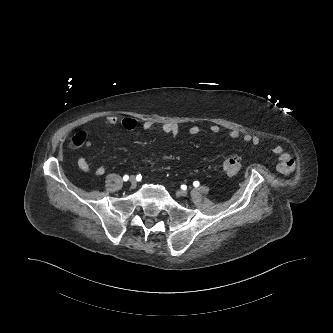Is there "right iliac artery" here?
<instances>
[{
	"label": "right iliac artery",
	"mask_w": 333,
	"mask_h": 333,
	"mask_svg": "<svg viewBox=\"0 0 333 333\" xmlns=\"http://www.w3.org/2000/svg\"><path fill=\"white\" fill-rule=\"evenodd\" d=\"M128 179H129V176L128 175H124L123 180L127 181Z\"/></svg>",
	"instance_id": "right-iliac-artery-1"
}]
</instances>
